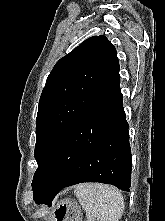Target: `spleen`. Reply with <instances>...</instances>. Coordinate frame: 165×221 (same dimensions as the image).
I'll return each instance as SVG.
<instances>
[{"label": "spleen", "mask_w": 165, "mask_h": 221, "mask_svg": "<svg viewBox=\"0 0 165 221\" xmlns=\"http://www.w3.org/2000/svg\"><path fill=\"white\" fill-rule=\"evenodd\" d=\"M74 194L86 212L87 221H119L123 215V196L113 186L80 184Z\"/></svg>", "instance_id": "3e777b00"}]
</instances>
